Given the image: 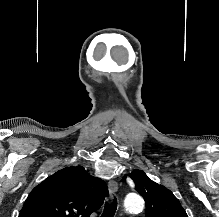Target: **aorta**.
I'll return each instance as SVG.
<instances>
[{"mask_svg": "<svg viewBox=\"0 0 219 217\" xmlns=\"http://www.w3.org/2000/svg\"><path fill=\"white\" fill-rule=\"evenodd\" d=\"M124 205L126 210L131 213L141 212L144 208V200L139 195H129L125 199Z\"/></svg>", "mask_w": 219, "mask_h": 217, "instance_id": "1", "label": "aorta"}]
</instances>
